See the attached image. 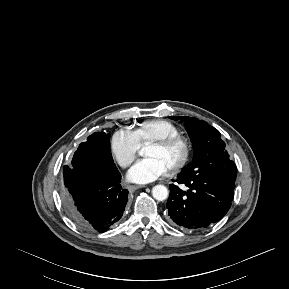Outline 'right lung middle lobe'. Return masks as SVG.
Wrapping results in <instances>:
<instances>
[{
    "instance_id": "dd1d6c3e",
    "label": "right lung middle lobe",
    "mask_w": 289,
    "mask_h": 289,
    "mask_svg": "<svg viewBox=\"0 0 289 289\" xmlns=\"http://www.w3.org/2000/svg\"><path fill=\"white\" fill-rule=\"evenodd\" d=\"M109 139L110 134H106L105 132H96L90 135L86 142H82L79 145L70 167H76L77 163L83 158L92 159L103 167L114 166ZM70 167L65 166V169Z\"/></svg>"
}]
</instances>
